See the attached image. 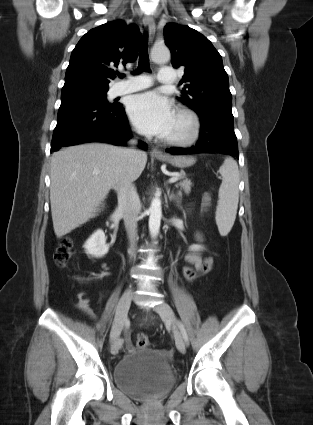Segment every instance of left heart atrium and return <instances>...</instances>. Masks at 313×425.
Instances as JSON below:
<instances>
[{
	"mask_svg": "<svg viewBox=\"0 0 313 425\" xmlns=\"http://www.w3.org/2000/svg\"><path fill=\"white\" fill-rule=\"evenodd\" d=\"M127 111L140 133L161 137L167 136L175 117L170 101L156 92L133 96Z\"/></svg>",
	"mask_w": 313,
	"mask_h": 425,
	"instance_id": "left-heart-atrium-1",
	"label": "left heart atrium"
}]
</instances>
